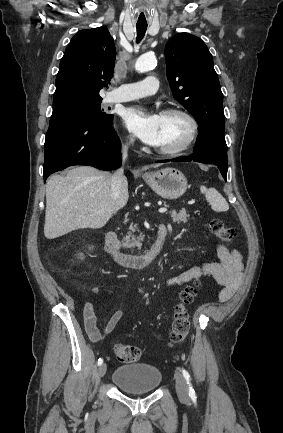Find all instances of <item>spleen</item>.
<instances>
[{
	"instance_id": "spleen-1",
	"label": "spleen",
	"mask_w": 283,
	"mask_h": 433,
	"mask_svg": "<svg viewBox=\"0 0 283 433\" xmlns=\"http://www.w3.org/2000/svg\"><path fill=\"white\" fill-rule=\"evenodd\" d=\"M201 192L205 194L206 200L210 202L211 208L216 210V212H224V210H228L229 204L227 200H225L224 196L216 190V188H206V186H200Z\"/></svg>"
}]
</instances>
